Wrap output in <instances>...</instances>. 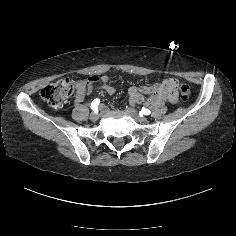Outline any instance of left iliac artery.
Instances as JSON below:
<instances>
[{"label":"left iliac artery","mask_w":236,"mask_h":236,"mask_svg":"<svg viewBox=\"0 0 236 236\" xmlns=\"http://www.w3.org/2000/svg\"><path fill=\"white\" fill-rule=\"evenodd\" d=\"M151 112L149 109H146V108H142V110L140 111L139 115L140 116H143L144 115H149Z\"/></svg>","instance_id":"obj_1"}]
</instances>
